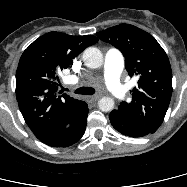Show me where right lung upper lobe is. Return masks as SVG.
Returning <instances> with one entry per match:
<instances>
[{"label":"right lung upper lobe","instance_id":"obj_1","mask_svg":"<svg viewBox=\"0 0 187 187\" xmlns=\"http://www.w3.org/2000/svg\"><path fill=\"white\" fill-rule=\"evenodd\" d=\"M97 41L92 35L49 32L23 52L16 72V97L26 124L40 141L65 127L85 103L58 91V73Z\"/></svg>","mask_w":187,"mask_h":187}]
</instances>
